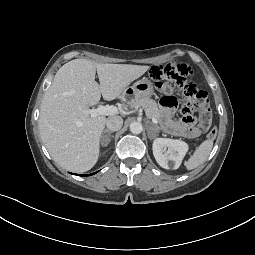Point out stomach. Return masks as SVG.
Masks as SVG:
<instances>
[{
    "mask_svg": "<svg viewBox=\"0 0 255 255\" xmlns=\"http://www.w3.org/2000/svg\"><path fill=\"white\" fill-rule=\"evenodd\" d=\"M154 94L153 83L147 78H143L133 86L125 89L123 96L134 98H149Z\"/></svg>",
    "mask_w": 255,
    "mask_h": 255,
    "instance_id": "obj_1",
    "label": "stomach"
}]
</instances>
